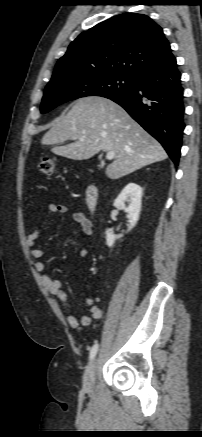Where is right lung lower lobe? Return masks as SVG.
Instances as JSON below:
<instances>
[{
    "label": "right lung lower lobe",
    "mask_w": 202,
    "mask_h": 437,
    "mask_svg": "<svg viewBox=\"0 0 202 437\" xmlns=\"http://www.w3.org/2000/svg\"><path fill=\"white\" fill-rule=\"evenodd\" d=\"M108 98L155 137L178 164L185 123L181 73L175 57L138 76L128 91Z\"/></svg>",
    "instance_id": "98d812e1"
}]
</instances>
